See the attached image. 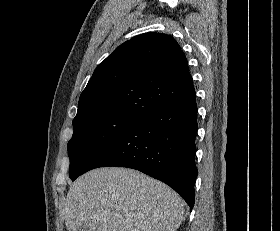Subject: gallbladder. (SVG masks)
<instances>
[{"instance_id": "bac80fb5", "label": "gallbladder", "mask_w": 280, "mask_h": 231, "mask_svg": "<svg viewBox=\"0 0 280 231\" xmlns=\"http://www.w3.org/2000/svg\"><path fill=\"white\" fill-rule=\"evenodd\" d=\"M78 231H89V227H84V225H80Z\"/></svg>"}]
</instances>
